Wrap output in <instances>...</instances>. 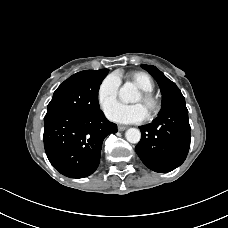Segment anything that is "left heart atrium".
<instances>
[{
  "label": "left heart atrium",
  "instance_id": "39dd6f15",
  "mask_svg": "<svg viewBox=\"0 0 228 228\" xmlns=\"http://www.w3.org/2000/svg\"><path fill=\"white\" fill-rule=\"evenodd\" d=\"M105 114L113 122L120 124L140 123L147 117V111L142 104L127 105L120 102L110 104Z\"/></svg>",
  "mask_w": 228,
  "mask_h": 228
}]
</instances>
